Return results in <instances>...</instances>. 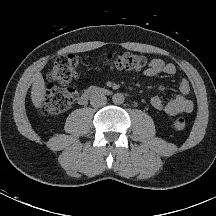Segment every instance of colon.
Here are the masks:
<instances>
[{
  "label": "colon",
  "mask_w": 216,
  "mask_h": 216,
  "mask_svg": "<svg viewBox=\"0 0 216 216\" xmlns=\"http://www.w3.org/2000/svg\"><path fill=\"white\" fill-rule=\"evenodd\" d=\"M105 68L140 71L149 62L146 57L129 52H114L105 55L99 60ZM79 59L74 54H65L56 58L49 73V79L63 85L64 88L52 87L44 95L41 111L44 115L61 113L69 109L77 97L76 88L71 83L78 76ZM187 120L184 116L175 118L172 122L174 130H183Z\"/></svg>",
  "instance_id": "obj_1"
}]
</instances>
